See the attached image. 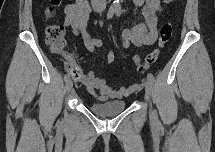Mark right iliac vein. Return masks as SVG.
Instances as JSON below:
<instances>
[{
  "label": "right iliac vein",
  "mask_w": 215,
  "mask_h": 152,
  "mask_svg": "<svg viewBox=\"0 0 215 152\" xmlns=\"http://www.w3.org/2000/svg\"><path fill=\"white\" fill-rule=\"evenodd\" d=\"M72 88H73V83H72L71 80H68V81L66 82V91H67L68 93H70V92L72 91Z\"/></svg>",
  "instance_id": "right-iliac-vein-1"
}]
</instances>
